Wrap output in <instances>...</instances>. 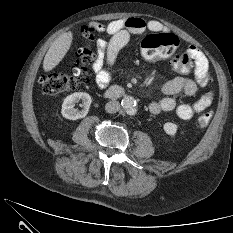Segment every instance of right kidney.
<instances>
[{
	"label": "right kidney",
	"instance_id": "obj_1",
	"mask_svg": "<svg viewBox=\"0 0 233 233\" xmlns=\"http://www.w3.org/2000/svg\"><path fill=\"white\" fill-rule=\"evenodd\" d=\"M80 100H82L83 102V109H75V104L78 103ZM91 102L92 99L89 94L83 92L73 93L64 99L61 113L63 117L69 120L84 118L88 114Z\"/></svg>",
	"mask_w": 233,
	"mask_h": 233
}]
</instances>
